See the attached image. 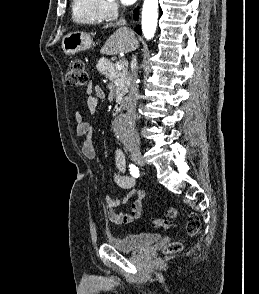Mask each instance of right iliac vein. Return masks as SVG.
Masks as SVG:
<instances>
[{"label": "right iliac vein", "mask_w": 259, "mask_h": 294, "mask_svg": "<svg viewBox=\"0 0 259 294\" xmlns=\"http://www.w3.org/2000/svg\"><path fill=\"white\" fill-rule=\"evenodd\" d=\"M130 153L132 156L133 161L139 166H145V160L142 156L139 148H132L130 149Z\"/></svg>", "instance_id": "63e3f726"}]
</instances>
